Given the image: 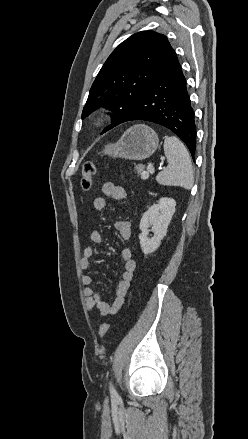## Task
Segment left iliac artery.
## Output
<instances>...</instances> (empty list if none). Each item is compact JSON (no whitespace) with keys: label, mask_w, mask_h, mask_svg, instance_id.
<instances>
[{"label":"left iliac artery","mask_w":248,"mask_h":439,"mask_svg":"<svg viewBox=\"0 0 248 439\" xmlns=\"http://www.w3.org/2000/svg\"><path fill=\"white\" fill-rule=\"evenodd\" d=\"M110 393L112 396H117V392L111 383H110Z\"/></svg>","instance_id":"left-iliac-artery-1"}]
</instances>
